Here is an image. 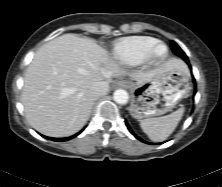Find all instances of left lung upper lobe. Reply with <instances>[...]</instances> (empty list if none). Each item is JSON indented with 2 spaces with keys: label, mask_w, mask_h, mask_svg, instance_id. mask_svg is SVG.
Returning <instances> with one entry per match:
<instances>
[{
  "label": "left lung upper lobe",
  "mask_w": 222,
  "mask_h": 187,
  "mask_svg": "<svg viewBox=\"0 0 222 187\" xmlns=\"http://www.w3.org/2000/svg\"><path fill=\"white\" fill-rule=\"evenodd\" d=\"M171 47L174 54H176L177 56L181 58L187 57L186 54L183 52V50L174 41H171Z\"/></svg>",
  "instance_id": "5c2ea615"
}]
</instances>
